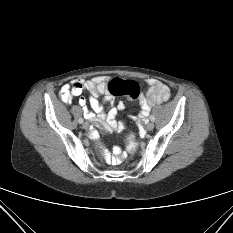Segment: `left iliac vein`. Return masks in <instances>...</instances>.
<instances>
[{"instance_id":"4c4485c4","label":"left iliac vein","mask_w":233,"mask_h":233,"mask_svg":"<svg viewBox=\"0 0 233 233\" xmlns=\"http://www.w3.org/2000/svg\"><path fill=\"white\" fill-rule=\"evenodd\" d=\"M153 128H154L153 122L147 123V125H146V130L147 131H151V130H153Z\"/></svg>"}]
</instances>
